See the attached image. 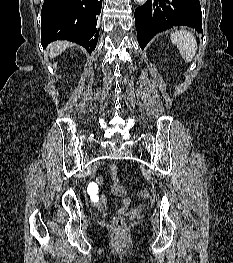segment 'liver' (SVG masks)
Listing matches in <instances>:
<instances>
[{
	"mask_svg": "<svg viewBox=\"0 0 233 263\" xmlns=\"http://www.w3.org/2000/svg\"><path fill=\"white\" fill-rule=\"evenodd\" d=\"M69 46V43L66 41H56L49 46V57L52 59L63 51Z\"/></svg>",
	"mask_w": 233,
	"mask_h": 263,
	"instance_id": "liver-1",
	"label": "liver"
}]
</instances>
